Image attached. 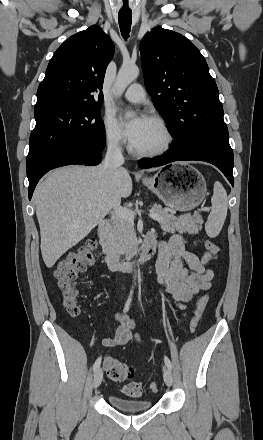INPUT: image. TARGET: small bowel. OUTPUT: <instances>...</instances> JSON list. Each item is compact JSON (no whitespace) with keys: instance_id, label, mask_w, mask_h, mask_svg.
I'll use <instances>...</instances> for the list:
<instances>
[{"instance_id":"obj_1","label":"small bowel","mask_w":263,"mask_h":440,"mask_svg":"<svg viewBox=\"0 0 263 440\" xmlns=\"http://www.w3.org/2000/svg\"><path fill=\"white\" fill-rule=\"evenodd\" d=\"M157 243V236L151 233ZM211 254L198 257L191 245L180 235H173L158 242L156 274L165 292L171 294L179 310H185L194 295L208 290L214 277L212 269L207 267ZM115 319L120 323L114 336L103 340L107 347L140 342V336L134 332V321L124 313H116ZM151 332L150 328L146 326Z\"/></svg>"}]
</instances>
